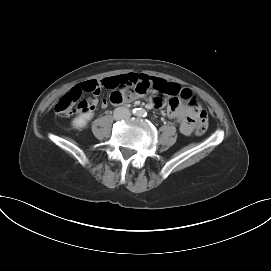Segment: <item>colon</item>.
<instances>
[{"instance_id": "5ec220e1", "label": "colon", "mask_w": 271, "mask_h": 271, "mask_svg": "<svg viewBox=\"0 0 271 271\" xmlns=\"http://www.w3.org/2000/svg\"><path fill=\"white\" fill-rule=\"evenodd\" d=\"M89 92L94 95L97 91L95 90V86L89 84L86 87V90H83L81 87H75L70 92L63 95L59 101L55 105V112L59 115H71L73 112L77 111L79 107H83L87 105V101H80L82 92ZM181 97L184 101H187L190 104H195L196 101L194 97L182 94ZM195 126L196 133L198 135L204 134L208 127V118L207 114L204 110H200L195 116Z\"/></svg>"}]
</instances>
